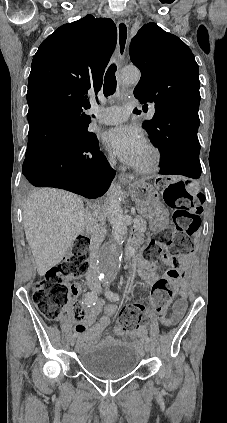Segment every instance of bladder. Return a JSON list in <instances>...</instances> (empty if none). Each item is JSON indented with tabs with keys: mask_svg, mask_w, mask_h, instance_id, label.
<instances>
[{
	"mask_svg": "<svg viewBox=\"0 0 227 423\" xmlns=\"http://www.w3.org/2000/svg\"><path fill=\"white\" fill-rule=\"evenodd\" d=\"M140 359V352L130 343H111L83 353L78 363L96 378L120 379L131 375Z\"/></svg>",
	"mask_w": 227,
	"mask_h": 423,
	"instance_id": "1",
	"label": "bladder"
}]
</instances>
